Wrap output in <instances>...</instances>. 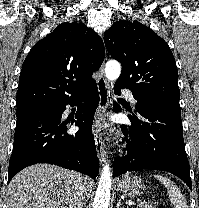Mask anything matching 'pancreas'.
I'll return each instance as SVG.
<instances>
[{
  "instance_id": "1",
  "label": "pancreas",
  "mask_w": 199,
  "mask_h": 208,
  "mask_svg": "<svg viewBox=\"0 0 199 208\" xmlns=\"http://www.w3.org/2000/svg\"><path fill=\"white\" fill-rule=\"evenodd\" d=\"M139 206L141 208H154L152 205L146 204V203H140Z\"/></svg>"
}]
</instances>
